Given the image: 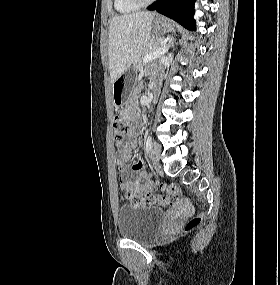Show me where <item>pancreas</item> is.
I'll return each instance as SVG.
<instances>
[{"mask_svg":"<svg viewBox=\"0 0 280 285\" xmlns=\"http://www.w3.org/2000/svg\"><path fill=\"white\" fill-rule=\"evenodd\" d=\"M165 46V43L162 38H157L147 44L146 47L139 53L138 57L134 60L133 67L135 70L139 71L143 66V58L145 55L152 53L153 51Z\"/></svg>","mask_w":280,"mask_h":285,"instance_id":"cf45deb5","label":"pancreas"}]
</instances>
